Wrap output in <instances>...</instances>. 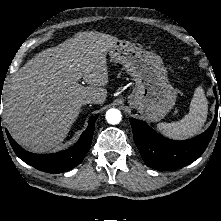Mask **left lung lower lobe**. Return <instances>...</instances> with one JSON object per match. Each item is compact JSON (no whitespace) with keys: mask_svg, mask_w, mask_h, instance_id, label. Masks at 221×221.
<instances>
[{"mask_svg":"<svg viewBox=\"0 0 221 221\" xmlns=\"http://www.w3.org/2000/svg\"><path fill=\"white\" fill-rule=\"evenodd\" d=\"M217 114L218 101L215 118L209 129L201 135L185 141L167 139L155 132L145 122L131 119L134 141L145 164L161 171L176 170L198 159L212 138L217 123Z\"/></svg>","mask_w":221,"mask_h":221,"instance_id":"left-lung-lower-lobe-1","label":"left lung lower lobe"}]
</instances>
